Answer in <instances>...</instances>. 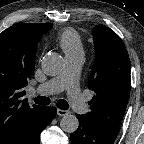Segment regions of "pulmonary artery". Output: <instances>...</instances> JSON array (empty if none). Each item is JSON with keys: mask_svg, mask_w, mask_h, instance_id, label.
Masks as SVG:
<instances>
[{"mask_svg": "<svg viewBox=\"0 0 144 144\" xmlns=\"http://www.w3.org/2000/svg\"><path fill=\"white\" fill-rule=\"evenodd\" d=\"M82 63L83 53L66 56L63 71L58 76L39 85L34 92L41 95H50L66 90L73 108L79 114L86 112L87 105L78 85Z\"/></svg>", "mask_w": 144, "mask_h": 144, "instance_id": "pulmonary-artery-1", "label": "pulmonary artery"}]
</instances>
